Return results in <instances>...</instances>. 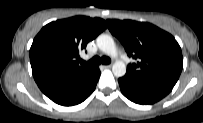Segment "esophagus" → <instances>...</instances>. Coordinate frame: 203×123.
Instances as JSON below:
<instances>
[{
  "mask_svg": "<svg viewBox=\"0 0 203 123\" xmlns=\"http://www.w3.org/2000/svg\"><path fill=\"white\" fill-rule=\"evenodd\" d=\"M105 69H110L111 67H112V65L111 64H108V65H104L103 66Z\"/></svg>",
  "mask_w": 203,
  "mask_h": 123,
  "instance_id": "obj_1",
  "label": "esophagus"
}]
</instances>
